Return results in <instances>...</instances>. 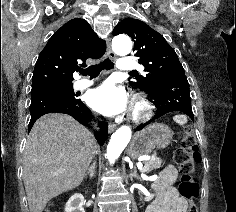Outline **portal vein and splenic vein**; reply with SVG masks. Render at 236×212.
Segmentation results:
<instances>
[{"instance_id": "obj_1", "label": "portal vein and splenic vein", "mask_w": 236, "mask_h": 212, "mask_svg": "<svg viewBox=\"0 0 236 212\" xmlns=\"http://www.w3.org/2000/svg\"><path fill=\"white\" fill-rule=\"evenodd\" d=\"M153 157H155V155H153L152 157L148 156V157L144 158V160H150V159H152ZM138 167H139L141 170H145V169L147 168L146 166L143 167V165H142L141 163L138 164ZM59 172H62V170H59Z\"/></svg>"}]
</instances>
